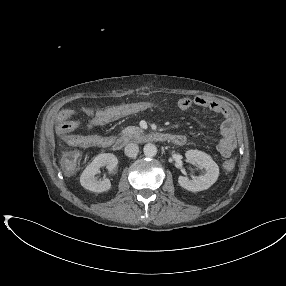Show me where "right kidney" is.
<instances>
[{
  "label": "right kidney",
  "instance_id": "right-kidney-1",
  "mask_svg": "<svg viewBox=\"0 0 286 286\" xmlns=\"http://www.w3.org/2000/svg\"><path fill=\"white\" fill-rule=\"evenodd\" d=\"M118 159L114 154L103 153L97 155L84 169L80 176L81 185L92 192H105L111 189V182L107 178L97 180L95 175L100 172V167L106 166L109 171L116 168Z\"/></svg>",
  "mask_w": 286,
  "mask_h": 286
}]
</instances>
